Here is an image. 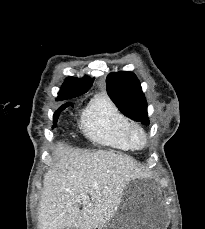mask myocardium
Returning a JSON list of instances; mask_svg holds the SVG:
<instances>
[{
	"instance_id": "1",
	"label": "myocardium",
	"mask_w": 205,
	"mask_h": 229,
	"mask_svg": "<svg viewBox=\"0 0 205 229\" xmlns=\"http://www.w3.org/2000/svg\"><path fill=\"white\" fill-rule=\"evenodd\" d=\"M137 137H139L140 140H137ZM127 140L130 146L137 150L143 149L148 143L147 133L143 127L138 124L130 125L127 131Z\"/></svg>"
}]
</instances>
